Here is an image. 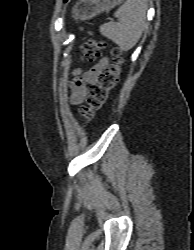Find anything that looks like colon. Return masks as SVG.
Instances as JSON below:
<instances>
[{
  "instance_id": "obj_1",
  "label": "colon",
  "mask_w": 194,
  "mask_h": 250,
  "mask_svg": "<svg viewBox=\"0 0 194 250\" xmlns=\"http://www.w3.org/2000/svg\"><path fill=\"white\" fill-rule=\"evenodd\" d=\"M106 47L103 41L90 40L82 46V59L88 62L96 60L101 51ZM124 64L122 51L119 48L113 50V62L98 76L97 81L90 86L87 104L80 109V113L87 122L91 120L95 112L102 108L109 97L110 91L116 86Z\"/></svg>"
}]
</instances>
